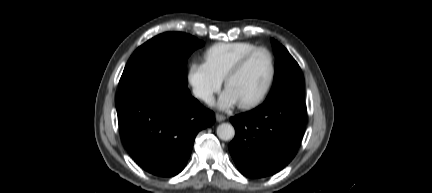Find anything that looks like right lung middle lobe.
Wrapping results in <instances>:
<instances>
[{
  "label": "right lung middle lobe",
  "instance_id": "obj_1",
  "mask_svg": "<svg viewBox=\"0 0 432 193\" xmlns=\"http://www.w3.org/2000/svg\"><path fill=\"white\" fill-rule=\"evenodd\" d=\"M203 44L181 32H167L148 40L127 62L119 81V91L146 82L160 83L177 92L189 91L187 59Z\"/></svg>",
  "mask_w": 432,
  "mask_h": 193
}]
</instances>
